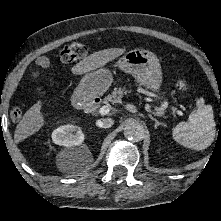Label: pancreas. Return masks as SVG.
Wrapping results in <instances>:
<instances>
[{"label":"pancreas","instance_id":"pancreas-1","mask_svg":"<svg viewBox=\"0 0 221 221\" xmlns=\"http://www.w3.org/2000/svg\"><path fill=\"white\" fill-rule=\"evenodd\" d=\"M129 92H131V91H130V90H126L125 87H124V88H121V87H119V88H114L113 92H112L111 94H109L108 96H106V97L104 98L103 102H104L105 104L118 103V102L121 100V98H122L125 94H127V93H129ZM143 92H144L145 94H149V92L146 91V90H143Z\"/></svg>","mask_w":221,"mask_h":221}]
</instances>
